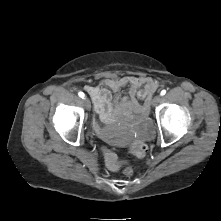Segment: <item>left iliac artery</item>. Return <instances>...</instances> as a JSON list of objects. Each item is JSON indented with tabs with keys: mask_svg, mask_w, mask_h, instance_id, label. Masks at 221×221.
I'll return each instance as SVG.
<instances>
[{
	"mask_svg": "<svg viewBox=\"0 0 221 221\" xmlns=\"http://www.w3.org/2000/svg\"><path fill=\"white\" fill-rule=\"evenodd\" d=\"M165 94H166V90H162L161 93H160L161 96H163Z\"/></svg>",
	"mask_w": 221,
	"mask_h": 221,
	"instance_id": "left-iliac-artery-1",
	"label": "left iliac artery"
}]
</instances>
